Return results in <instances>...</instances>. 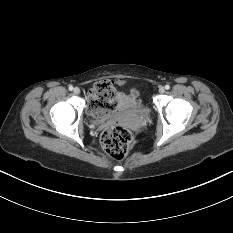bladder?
Masks as SVG:
<instances>
[{
	"mask_svg": "<svg viewBox=\"0 0 233 233\" xmlns=\"http://www.w3.org/2000/svg\"><path fill=\"white\" fill-rule=\"evenodd\" d=\"M132 112L140 114V115H147L149 113V108L146 104L139 102L136 105L131 106L130 109Z\"/></svg>",
	"mask_w": 233,
	"mask_h": 233,
	"instance_id": "bladder-1",
	"label": "bladder"
}]
</instances>
